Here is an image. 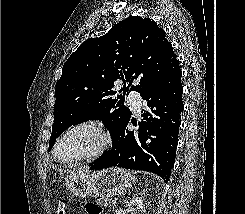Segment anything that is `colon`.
I'll return each instance as SVG.
<instances>
[{"mask_svg": "<svg viewBox=\"0 0 245 214\" xmlns=\"http://www.w3.org/2000/svg\"><path fill=\"white\" fill-rule=\"evenodd\" d=\"M86 210L88 214H100V207L94 203H89L86 206ZM58 214H64V207L61 204L58 209Z\"/></svg>", "mask_w": 245, "mask_h": 214, "instance_id": "1", "label": "colon"}]
</instances>
